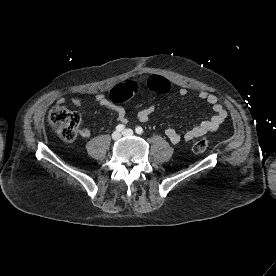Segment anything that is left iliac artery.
Segmentation results:
<instances>
[{
    "label": "left iliac artery",
    "instance_id": "44dca946",
    "mask_svg": "<svg viewBox=\"0 0 276 276\" xmlns=\"http://www.w3.org/2000/svg\"><path fill=\"white\" fill-rule=\"evenodd\" d=\"M135 131H136L137 134H142L143 133V129L140 126L136 127Z\"/></svg>",
    "mask_w": 276,
    "mask_h": 276
}]
</instances>
